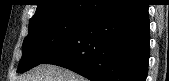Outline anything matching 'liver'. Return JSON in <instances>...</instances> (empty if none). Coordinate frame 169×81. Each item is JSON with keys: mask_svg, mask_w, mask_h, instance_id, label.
Instances as JSON below:
<instances>
[{"mask_svg": "<svg viewBox=\"0 0 169 81\" xmlns=\"http://www.w3.org/2000/svg\"><path fill=\"white\" fill-rule=\"evenodd\" d=\"M19 81H85V79L68 69L42 64L21 76Z\"/></svg>", "mask_w": 169, "mask_h": 81, "instance_id": "liver-1", "label": "liver"}]
</instances>
